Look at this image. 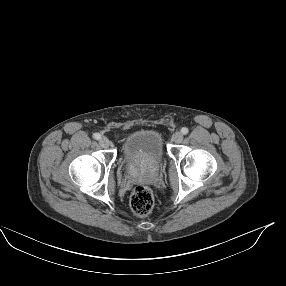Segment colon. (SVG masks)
Wrapping results in <instances>:
<instances>
[{
	"label": "colon",
	"instance_id": "obj_1",
	"mask_svg": "<svg viewBox=\"0 0 286 286\" xmlns=\"http://www.w3.org/2000/svg\"><path fill=\"white\" fill-rule=\"evenodd\" d=\"M130 205L133 212L138 216L149 214L154 205L152 190L146 186H137L132 193Z\"/></svg>",
	"mask_w": 286,
	"mask_h": 286
}]
</instances>
